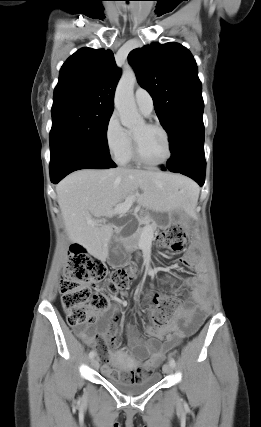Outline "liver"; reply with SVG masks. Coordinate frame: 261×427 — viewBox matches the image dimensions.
Here are the masks:
<instances>
[{"mask_svg":"<svg viewBox=\"0 0 261 427\" xmlns=\"http://www.w3.org/2000/svg\"><path fill=\"white\" fill-rule=\"evenodd\" d=\"M195 188L192 180L177 174L126 168L83 169L64 178L56 186V193L70 241L105 261L113 228L101 224L99 218L108 216L132 195H136L140 206L154 212L190 210L196 202L189 191ZM93 217L98 223L95 226L87 223Z\"/></svg>","mask_w":261,"mask_h":427,"instance_id":"liver-1","label":"liver"}]
</instances>
